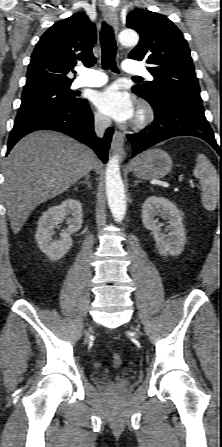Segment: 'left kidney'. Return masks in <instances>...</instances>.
<instances>
[{"label": "left kidney", "instance_id": "1", "mask_svg": "<svg viewBox=\"0 0 222 447\" xmlns=\"http://www.w3.org/2000/svg\"><path fill=\"white\" fill-rule=\"evenodd\" d=\"M157 215L168 220L169 226L164 234L158 225ZM181 211L168 199L158 196L148 197L142 206V223L151 230L156 241V248L162 256L179 255L186 243V233L182 223Z\"/></svg>", "mask_w": 222, "mask_h": 447}]
</instances>
